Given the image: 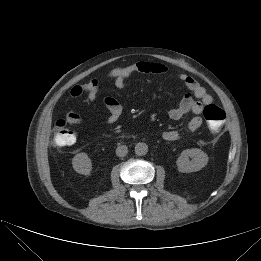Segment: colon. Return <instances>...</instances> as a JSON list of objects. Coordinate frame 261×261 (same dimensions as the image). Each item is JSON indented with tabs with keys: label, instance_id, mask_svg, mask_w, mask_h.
I'll list each match as a JSON object with an SVG mask.
<instances>
[{
	"label": "colon",
	"instance_id": "obj_1",
	"mask_svg": "<svg viewBox=\"0 0 261 261\" xmlns=\"http://www.w3.org/2000/svg\"><path fill=\"white\" fill-rule=\"evenodd\" d=\"M203 115L212 132H218L226 119L225 112L214 104L205 106ZM75 141L76 133L67 127L64 120H58L53 129V145L57 148H63L72 145Z\"/></svg>",
	"mask_w": 261,
	"mask_h": 261
}]
</instances>
